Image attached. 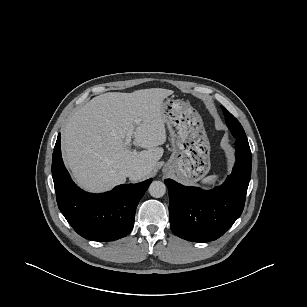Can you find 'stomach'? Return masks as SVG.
Wrapping results in <instances>:
<instances>
[{
    "mask_svg": "<svg viewBox=\"0 0 307 307\" xmlns=\"http://www.w3.org/2000/svg\"><path fill=\"white\" fill-rule=\"evenodd\" d=\"M162 113L172 144V155L163 168L184 184L202 180L210 171V142L199 113L179 99L163 101Z\"/></svg>",
    "mask_w": 307,
    "mask_h": 307,
    "instance_id": "obj_1",
    "label": "stomach"
}]
</instances>
